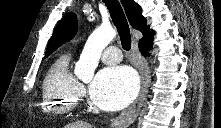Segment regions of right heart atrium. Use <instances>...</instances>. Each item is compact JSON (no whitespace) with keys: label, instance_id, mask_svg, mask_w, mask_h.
I'll list each match as a JSON object with an SVG mask.
<instances>
[{"label":"right heart atrium","instance_id":"d8ad5b80","mask_svg":"<svg viewBox=\"0 0 221 128\" xmlns=\"http://www.w3.org/2000/svg\"><path fill=\"white\" fill-rule=\"evenodd\" d=\"M83 92H84V87H83V85L79 84V85H78V94H79V95H82Z\"/></svg>","mask_w":221,"mask_h":128}]
</instances>
